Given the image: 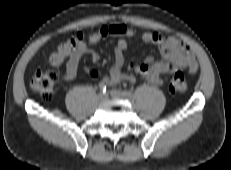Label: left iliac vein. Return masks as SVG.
<instances>
[{"label": "left iliac vein", "mask_w": 231, "mask_h": 170, "mask_svg": "<svg viewBox=\"0 0 231 170\" xmlns=\"http://www.w3.org/2000/svg\"><path fill=\"white\" fill-rule=\"evenodd\" d=\"M110 96L112 98H116V99H123V98H126L123 94V92H121L120 90H117V89H112L110 90L109 92Z\"/></svg>", "instance_id": "left-iliac-vein-1"}]
</instances>
